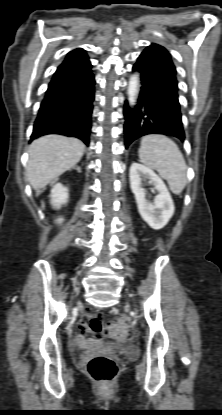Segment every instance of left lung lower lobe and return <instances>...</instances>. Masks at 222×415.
<instances>
[{"label": "left lung lower lobe", "instance_id": "1", "mask_svg": "<svg viewBox=\"0 0 222 415\" xmlns=\"http://www.w3.org/2000/svg\"><path fill=\"white\" fill-rule=\"evenodd\" d=\"M133 71L139 74L141 91L138 104L124 106L125 147L147 134H163L184 141L178 101L176 69L168 51L151 44L138 57Z\"/></svg>", "mask_w": 222, "mask_h": 415}]
</instances>
